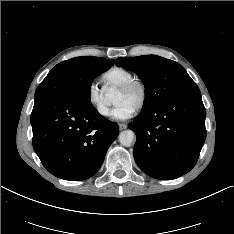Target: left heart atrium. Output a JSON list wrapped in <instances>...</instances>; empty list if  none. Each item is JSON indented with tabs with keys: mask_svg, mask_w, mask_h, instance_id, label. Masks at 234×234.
<instances>
[{
	"mask_svg": "<svg viewBox=\"0 0 234 234\" xmlns=\"http://www.w3.org/2000/svg\"><path fill=\"white\" fill-rule=\"evenodd\" d=\"M135 108L127 103H121L116 105L110 112L111 117L114 120L123 121L127 120L134 114Z\"/></svg>",
	"mask_w": 234,
	"mask_h": 234,
	"instance_id": "39dd6f15",
	"label": "left heart atrium"
}]
</instances>
